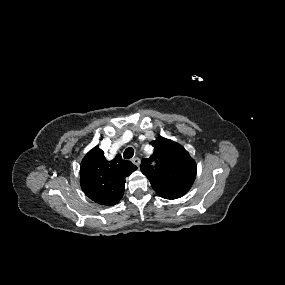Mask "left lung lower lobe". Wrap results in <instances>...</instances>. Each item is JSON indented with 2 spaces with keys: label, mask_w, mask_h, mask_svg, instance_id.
Instances as JSON below:
<instances>
[{
  "label": "left lung lower lobe",
  "mask_w": 285,
  "mask_h": 285,
  "mask_svg": "<svg viewBox=\"0 0 285 285\" xmlns=\"http://www.w3.org/2000/svg\"><path fill=\"white\" fill-rule=\"evenodd\" d=\"M161 197L165 199H177L181 196H183L185 193H179V192H160L158 193Z\"/></svg>",
  "instance_id": "0a47b994"
}]
</instances>
